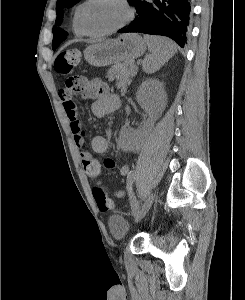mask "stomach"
<instances>
[{"instance_id": "0dacf381", "label": "stomach", "mask_w": 245, "mask_h": 300, "mask_svg": "<svg viewBox=\"0 0 245 300\" xmlns=\"http://www.w3.org/2000/svg\"><path fill=\"white\" fill-rule=\"evenodd\" d=\"M145 50L146 42L140 35L125 33L117 39H108L87 47L84 57L90 65L103 67L138 58Z\"/></svg>"}]
</instances>
